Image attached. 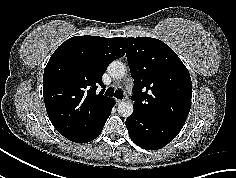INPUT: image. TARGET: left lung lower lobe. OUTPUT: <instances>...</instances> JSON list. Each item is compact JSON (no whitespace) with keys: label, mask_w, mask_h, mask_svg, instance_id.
<instances>
[{"label":"left lung lower lobe","mask_w":236,"mask_h":178,"mask_svg":"<svg viewBox=\"0 0 236 178\" xmlns=\"http://www.w3.org/2000/svg\"><path fill=\"white\" fill-rule=\"evenodd\" d=\"M126 127L130 138L139 147L157 150L173 140L183 126L134 110L126 120Z\"/></svg>","instance_id":"obj_1"}]
</instances>
